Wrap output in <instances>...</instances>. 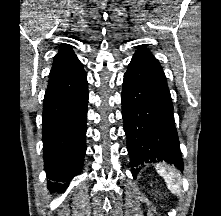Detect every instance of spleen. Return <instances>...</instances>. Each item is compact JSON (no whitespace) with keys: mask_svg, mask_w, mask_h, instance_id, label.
Listing matches in <instances>:
<instances>
[{"mask_svg":"<svg viewBox=\"0 0 221 216\" xmlns=\"http://www.w3.org/2000/svg\"><path fill=\"white\" fill-rule=\"evenodd\" d=\"M157 173L165 179L168 189L176 194L181 195V176L174 167L156 165Z\"/></svg>","mask_w":221,"mask_h":216,"instance_id":"1","label":"spleen"}]
</instances>
